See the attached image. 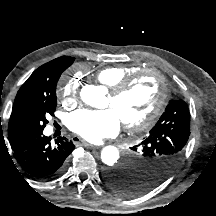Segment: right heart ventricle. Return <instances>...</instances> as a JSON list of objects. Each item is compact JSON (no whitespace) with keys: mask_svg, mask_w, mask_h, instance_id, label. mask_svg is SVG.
Returning <instances> with one entry per match:
<instances>
[{"mask_svg":"<svg viewBox=\"0 0 216 216\" xmlns=\"http://www.w3.org/2000/svg\"><path fill=\"white\" fill-rule=\"evenodd\" d=\"M139 70L140 68L135 65H111L99 69L95 77L98 82L111 89L121 80Z\"/></svg>","mask_w":216,"mask_h":216,"instance_id":"obj_1","label":"right heart ventricle"}]
</instances>
